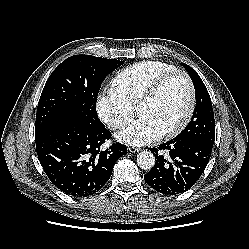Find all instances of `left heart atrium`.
<instances>
[{"mask_svg": "<svg viewBox=\"0 0 249 249\" xmlns=\"http://www.w3.org/2000/svg\"><path fill=\"white\" fill-rule=\"evenodd\" d=\"M164 132L150 118L140 116L132 125L118 135L119 140L135 145L142 146L160 139Z\"/></svg>", "mask_w": 249, "mask_h": 249, "instance_id": "39dd6f15", "label": "left heart atrium"}]
</instances>
